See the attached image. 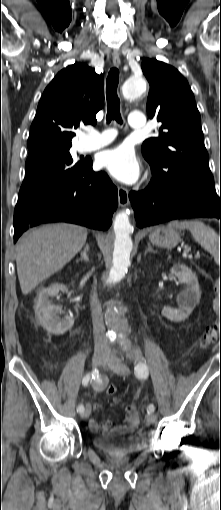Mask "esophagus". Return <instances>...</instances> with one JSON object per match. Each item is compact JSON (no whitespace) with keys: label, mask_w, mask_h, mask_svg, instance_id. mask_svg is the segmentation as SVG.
Wrapping results in <instances>:
<instances>
[{"label":"esophagus","mask_w":221,"mask_h":510,"mask_svg":"<svg viewBox=\"0 0 221 510\" xmlns=\"http://www.w3.org/2000/svg\"><path fill=\"white\" fill-rule=\"evenodd\" d=\"M113 64L116 67L121 65L120 56L118 53L114 52L112 55ZM118 201L119 206L126 207L129 203V193L128 190L124 187H118Z\"/></svg>","instance_id":"esophagus-1"}]
</instances>
